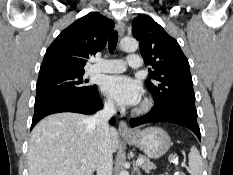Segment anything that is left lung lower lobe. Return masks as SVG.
<instances>
[{
    "mask_svg": "<svg viewBox=\"0 0 233 175\" xmlns=\"http://www.w3.org/2000/svg\"><path fill=\"white\" fill-rule=\"evenodd\" d=\"M170 122L182 125L193 131L198 139H201L200 129L197 123V111L195 102L181 101L173 103L161 110L152 109L148 114L130 119L131 127L145 123Z\"/></svg>",
    "mask_w": 233,
    "mask_h": 175,
    "instance_id": "obj_1",
    "label": "left lung lower lobe"
}]
</instances>
